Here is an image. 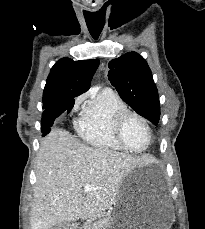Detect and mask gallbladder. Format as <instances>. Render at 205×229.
<instances>
[{
  "label": "gallbladder",
  "instance_id": "bac80fb5",
  "mask_svg": "<svg viewBox=\"0 0 205 229\" xmlns=\"http://www.w3.org/2000/svg\"><path fill=\"white\" fill-rule=\"evenodd\" d=\"M68 225L66 223H58L52 226L50 229H67Z\"/></svg>",
  "mask_w": 205,
  "mask_h": 229
}]
</instances>
